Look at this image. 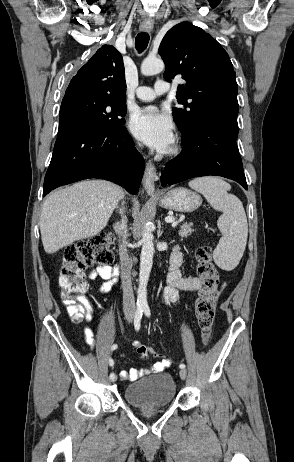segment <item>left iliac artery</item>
Masks as SVG:
<instances>
[{
	"mask_svg": "<svg viewBox=\"0 0 294 462\" xmlns=\"http://www.w3.org/2000/svg\"><path fill=\"white\" fill-rule=\"evenodd\" d=\"M143 311H144V313H145V315H146L147 317H150V314H151V313H150V308H149L148 306L144 307V308H143ZM185 367H186L185 364H180V365H179V368H180V369H185Z\"/></svg>",
	"mask_w": 294,
	"mask_h": 462,
	"instance_id": "44dca946",
	"label": "left iliac artery"
}]
</instances>
